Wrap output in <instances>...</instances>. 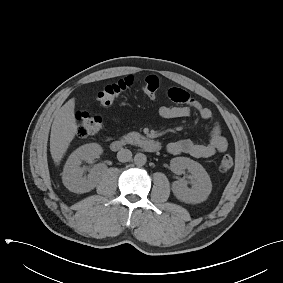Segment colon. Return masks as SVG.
I'll list each match as a JSON object with an SVG mask.
<instances>
[{
	"label": "colon",
	"instance_id": "obj_1",
	"mask_svg": "<svg viewBox=\"0 0 283 283\" xmlns=\"http://www.w3.org/2000/svg\"><path fill=\"white\" fill-rule=\"evenodd\" d=\"M134 85V79L127 77L115 83L107 85L98 94L100 103L104 106L111 105L115 99L124 91L130 89ZM160 86L158 77L154 75L147 76L140 82L141 90L148 96H154ZM77 119V134L82 137L94 136L103 128V118L99 115L90 114L88 112H79ZM233 166V159L230 155H224L219 161V170L221 172L229 171Z\"/></svg>",
	"mask_w": 283,
	"mask_h": 283
}]
</instances>
